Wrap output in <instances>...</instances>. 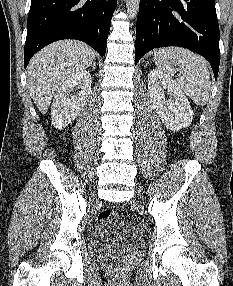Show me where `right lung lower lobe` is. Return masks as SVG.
Masks as SVG:
<instances>
[{"label":"right lung lower lobe","mask_w":233,"mask_h":286,"mask_svg":"<svg viewBox=\"0 0 233 286\" xmlns=\"http://www.w3.org/2000/svg\"><path fill=\"white\" fill-rule=\"evenodd\" d=\"M117 0H31L24 64L44 46L61 39L81 40L105 56Z\"/></svg>","instance_id":"obj_1"}]
</instances>
